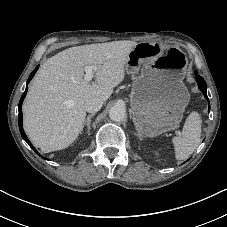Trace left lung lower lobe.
Listing matches in <instances>:
<instances>
[{
  "instance_id": "obj_1",
  "label": "left lung lower lobe",
  "mask_w": 227,
  "mask_h": 227,
  "mask_svg": "<svg viewBox=\"0 0 227 227\" xmlns=\"http://www.w3.org/2000/svg\"><path fill=\"white\" fill-rule=\"evenodd\" d=\"M196 81H197V83H198V88L203 92L205 98H206V99L208 100V102H209V99H208V97H207V85H206L204 79H203L201 76L197 75V76H196ZM209 108H210V104H209Z\"/></svg>"
}]
</instances>
